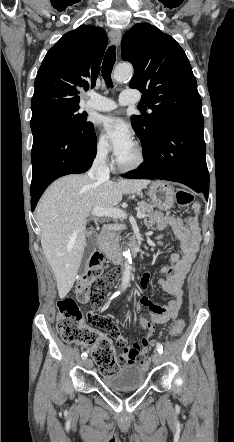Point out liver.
Segmentation results:
<instances>
[{
	"label": "liver",
	"instance_id": "1",
	"mask_svg": "<svg viewBox=\"0 0 234 442\" xmlns=\"http://www.w3.org/2000/svg\"><path fill=\"white\" fill-rule=\"evenodd\" d=\"M149 180H96L67 175L53 182L36 208L41 245L64 298L73 287L86 246V219L95 207L112 208L123 194L141 191Z\"/></svg>",
	"mask_w": 234,
	"mask_h": 442
}]
</instances>
